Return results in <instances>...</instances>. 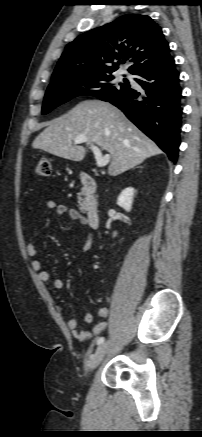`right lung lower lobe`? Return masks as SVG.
Returning <instances> with one entry per match:
<instances>
[{
  "label": "right lung lower lobe",
  "instance_id": "right-lung-lower-lobe-1",
  "mask_svg": "<svg viewBox=\"0 0 202 437\" xmlns=\"http://www.w3.org/2000/svg\"><path fill=\"white\" fill-rule=\"evenodd\" d=\"M136 75L141 76V79L135 80L144 92L129 88L106 101L118 107L175 163L181 142L183 111L182 89L174 58L169 56Z\"/></svg>",
  "mask_w": 202,
  "mask_h": 437
}]
</instances>
